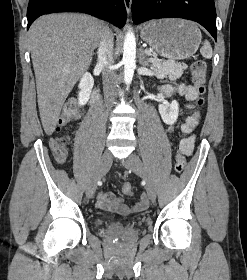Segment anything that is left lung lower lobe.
I'll return each mask as SVG.
<instances>
[{"mask_svg":"<svg viewBox=\"0 0 247 280\" xmlns=\"http://www.w3.org/2000/svg\"><path fill=\"white\" fill-rule=\"evenodd\" d=\"M177 17L193 20L217 40L214 0H133L132 18L138 24L150 19Z\"/></svg>","mask_w":247,"mask_h":280,"instance_id":"0a47b994","label":"left lung lower lobe"}]
</instances>
